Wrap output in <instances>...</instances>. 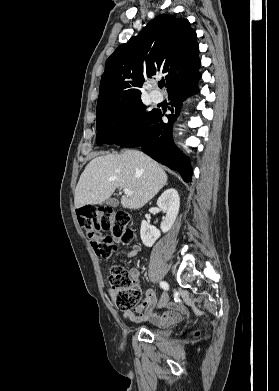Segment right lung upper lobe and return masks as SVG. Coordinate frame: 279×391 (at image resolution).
I'll use <instances>...</instances> for the list:
<instances>
[{
  "label": "right lung upper lobe",
  "instance_id": "cb5924a9",
  "mask_svg": "<svg viewBox=\"0 0 279 391\" xmlns=\"http://www.w3.org/2000/svg\"><path fill=\"white\" fill-rule=\"evenodd\" d=\"M197 35L187 19L162 14L107 59L97 113L141 100L142 84L165 74L167 91L198 72Z\"/></svg>",
  "mask_w": 279,
  "mask_h": 391
}]
</instances>
